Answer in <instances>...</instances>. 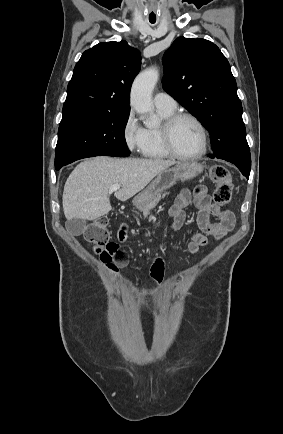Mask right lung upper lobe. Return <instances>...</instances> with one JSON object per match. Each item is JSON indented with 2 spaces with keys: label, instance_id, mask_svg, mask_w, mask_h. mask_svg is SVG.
<instances>
[{
  "label": "right lung upper lobe",
  "instance_id": "obj_1",
  "mask_svg": "<svg viewBox=\"0 0 283 434\" xmlns=\"http://www.w3.org/2000/svg\"><path fill=\"white\" fill-rule=\"evenodd\" d=\"M140 65V52L124 40L86 50L68 84L62 117L130 111L129 93Z\"/></svg>",
  "mask_w": 283,
  "mask_h": 434
}]
</instances>
